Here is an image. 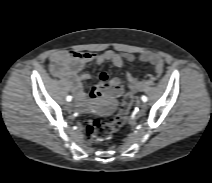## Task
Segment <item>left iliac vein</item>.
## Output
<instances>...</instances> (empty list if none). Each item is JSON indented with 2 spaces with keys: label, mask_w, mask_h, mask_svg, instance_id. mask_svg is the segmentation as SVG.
Listing matches in <instances>:
<instances>
[{
  "label": "left iliac vein",
  "mask_w": 212,
  "mask_h": 183,
  "mask_svg": "<svg viewBox=\"0 0 212 183\" xmlns=\"http://www.w3.org/2000/svg\"><path fill=\"white\" fill-rule=\"evenodd\" d=\"M140 109H141L142 111H145V110L147 109V104H146V103H142V104L140 105Z\"/></svg>",
  "instance_id": "4c4485c4"
}]
</instances>
